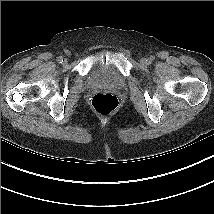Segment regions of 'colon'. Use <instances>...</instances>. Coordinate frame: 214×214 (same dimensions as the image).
I'll list each match as a JSON object with an SVG mask.
<instances>
[{
    "label": "colon",
    "mask_w": 214,
    "mask_h": 214,
    "mask_svg": "<svg viewBox=\"0 0 214 214\" xmlns=\"http://www.w3.org/2000/svg\"><path fill=\"white\" fill-rule=\"evenodd\" d=\"M118 105V98L112 93H98L92 99L94 110L102 115L114 112Z\"/></svg>",
    "instance_id": "1"
}]
</instances>
